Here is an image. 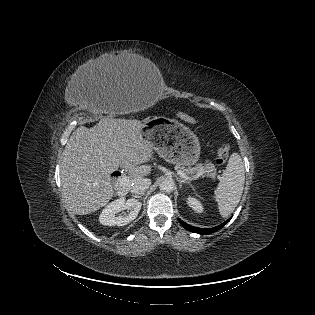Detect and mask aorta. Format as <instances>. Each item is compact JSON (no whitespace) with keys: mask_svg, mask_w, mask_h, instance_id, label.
<instances>
[{"mask_svg":"<svg viewBox=\"0 0 315 315\" xmlns=\"http://www.w3.org/2000/svg\"><path fill=\"white\" fill-rule=\"evenodd\" d=\"M174 186L175 184L172 180L165 179L160 183L159 188L162 192L170 193L174 190Z\"/></svg>","mask_w":315,"mask_h":315,"instance_id":"obj_1","label":"aorta"}]
</instances>
